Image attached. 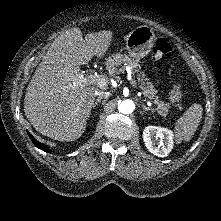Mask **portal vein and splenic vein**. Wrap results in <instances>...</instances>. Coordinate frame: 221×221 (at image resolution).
I'll return each instance as SVG.
<instances>
[{"label":"portal vein and splenic vein","instance_id":"portal-vein-and-splenic-vein-1","mask_svg":"<svg viewBox=\"0 0 221 221\" xmlns=\"http://www.w3.org/2000/svg\"><path fill=\"white\" fill-rule=\"evenodd\" d=\"M121 71L124 72V69ZM73 84L74 86H79L82 84H97L100 88H103L107 86V81L101 75H89L87 77H84L80 74L78 79ZM130 84L132 86H135V82L132 79H130Z\"/></svg>","mask_w":221,"mask_h":221}]
</instances>
